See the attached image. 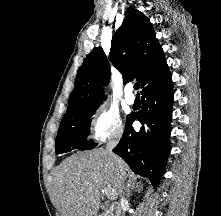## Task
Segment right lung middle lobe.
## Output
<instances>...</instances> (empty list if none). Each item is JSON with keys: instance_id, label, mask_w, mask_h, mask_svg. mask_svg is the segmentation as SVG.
I'll return each mask as SVG.
<instances>
[{"instance_id": "obj_1", "label": "right lung middle lobe", "mask_w": 221, "mask_h": 216, "mask_svg": "<svg viewBox=\"0 0 221 216\" xmlns=\"http://www.w3.org/2000/svg\"><path fill=\"white\" fill-rule=\"evenodd\" d=\"M97 108L62 119L55 140L56 154L70 152L73 149L90 150L97 146L96 143L86 141L90 132V118Z\"/></svg>"}]
</instances>
